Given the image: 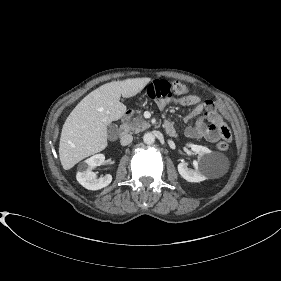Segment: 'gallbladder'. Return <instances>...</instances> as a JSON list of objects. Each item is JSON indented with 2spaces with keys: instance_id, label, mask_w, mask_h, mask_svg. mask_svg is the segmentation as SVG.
<instances>
[{
  "instance_id": "gallbladder-1",
  "label": "gallbladder",
  "mask_w": 281,
  "mask_h": 281,
  "mask_svg": "<svg viewBox=\"0 0 281 281\" xmlns=\"http://www.w3.org/2000/svg\"><path fill=\"white\" fill-rule=\"evenodd\" d=\"M118 131V128L116 125L114 124H110L108 127H107V132L110 136H113L117 133Z\"/></svg>"
}]
</instances>
